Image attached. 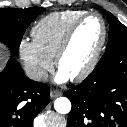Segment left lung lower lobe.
Masks as SVG:
<instances>
[{"mask_svg":"<svg viewBox=\"0 0 127 127\" xmlns=\"http://www.w3.org/2000/svg\"><path fill=\"white\" fill-rule=\"evenodd\" d=\"M66 96L72 103L68 127H127V46L103 56Z\"/></svg>","mask_w":127,"mask_h":127,"instance_id":"0a47b994","label":"left lung lower lobe"}]
</instances>
